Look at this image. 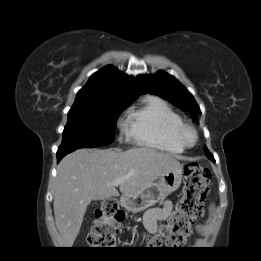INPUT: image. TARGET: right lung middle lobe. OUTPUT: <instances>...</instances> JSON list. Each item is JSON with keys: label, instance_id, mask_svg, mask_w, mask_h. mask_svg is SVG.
<instances>
[{"label": "right lung middle lobe", "instance_id": "right-lung-middle-lobe-1", "mask_svg": "<svg viewBox=\"0 0 261 261\" xmlns=\"http://www.w3.org/2000/svg\"><path fill=\"white\" fill-rule=\"evenodd\" d=\"M133 100L97 97L75 100L58 152L108 145L113 142L119 113Z\"/></svg>", "mask_w": 261, "mask_h": 261}]
</instances>
